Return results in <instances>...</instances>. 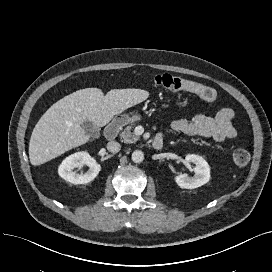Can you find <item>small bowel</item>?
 Returning a JSON list of instances; mask_svg holds the SVG:
<instances>
[{
	"mask_svg": "<svg viewBox=\"0 0 272 272\" xmlns=\"http://www.w3.org/2000/svg\"><path fill=\"white\" fill-rule=\"evenodd\" d=\"M233 116L234 113L230 108H223L214 117L198 114L190 119H177L172 122L171 128L190 137L210 138L222 142L233 139L237 135L232 125ZM162 135L158 133L157 137Z\"/></svg>",
	"mask_w": 272,
	"mask_h": 272,
	"instance_id": "c3829d8e",
	"label": "small bowel"
}]
</instances>
